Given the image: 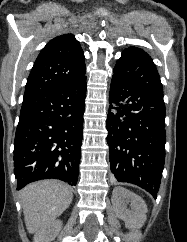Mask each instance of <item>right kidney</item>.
Instances as JSON below:
<instances>
[{"mask_svg":"<svg viewBox=\"0 0 187 242\" xmlns=\"http://www.w3.org/2000/svg\"><path fill=\"white\" fill-rule=\"evenodd\" d=\"M62 228L60 220H54L41 228L34 237V242H52Z\"/></svg>","mask_w":187,"mask_h":242,"instance_id":"ca27d5eb","label":"right kidney"}]
</instances>
